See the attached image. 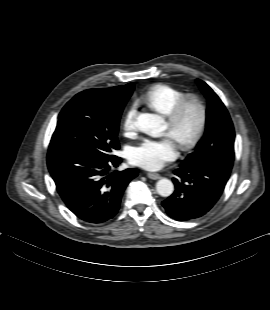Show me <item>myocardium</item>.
Instances as JSON below:
<instances>
[{"label":"myocardium","instance_id":"myocardium-1","mask_svg":"<svg viewBox=\"0 0 270 310\" xmlns=\"http://www.w3.org/2000/svg\"><path fill=\"white\" fill-rule=\"evenodd\" d=\"M193 110L196 113V125L188 134L181 133V123L185 114ZM207 123V110L204 103L197 97H184L167 115L170 134L178 140L183 149H190L202 136Z\"/></svg>","mask_w":270,"mask_h":310}]
</instances>
